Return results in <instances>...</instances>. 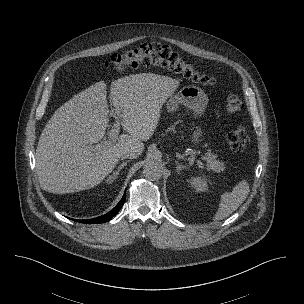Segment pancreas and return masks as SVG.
Masks as SVG:
<instances>
[{"label": "pancreas", "instance_id": "1", "mask_svg": "<svg viewBox=\"0 0 304 304\" xmlns=\"http://www.w3.org/2000/svg\"><path fill=\"white\" fill-rule=\"evenodd\" d=\"M205 160L208 163V166L213 170V171H220L223 168V163L217 160V155L213 153H207L205 155Z\"/></svg>", "mask_w": 304, "mask_h": 304}]
</instances>
